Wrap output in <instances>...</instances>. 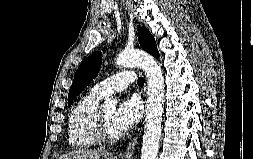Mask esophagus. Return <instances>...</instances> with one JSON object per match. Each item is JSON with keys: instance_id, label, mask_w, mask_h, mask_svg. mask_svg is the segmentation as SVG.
Returning a JSON list of instances; mask_svg holds the SVG:
<instances>
[{"instance_id": "1", "label": "esophagus", "mask_w": 253, "mask_h": 159, "mask_svg": "<svg viewBox=\"0 0 253 159\" xmlns=\"http://www.w3.org/2000/svg\"><path fill=\"white\" fill-rule=\"evenodd\" d=\"M140 134H141V130H139L138 133L129 141L128 146L126 147V150L121 155V159H132L133 158V155L135 152V147L137 145Z\"/></svg>"}]
</instances>
